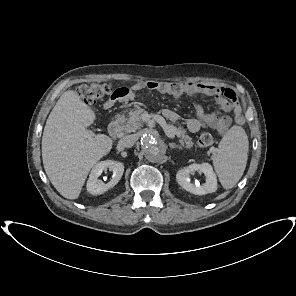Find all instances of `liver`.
Returning a JSON list of instances; mask_svg holds the SVG:
<instances>
[{
  "label": "liver",
  "instance_id": "obj_1",
  "mask_svg": "<svg viewBox=\"0 0 296 296\" xmlns=\"http://www.w3.org/2000/svg\"><path fill=\"white\" fill-rule=\"evenodd\" d=\"M95 112L77 92L62 94L52 109L42 136L45 172L56 190L67 199H77L90 169L111 148L112 139L87 129Z\"/></svg>",
  "mask_w": 296,
  "mask_h": 296
}]
</instances>
